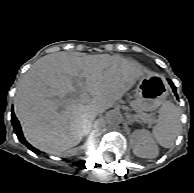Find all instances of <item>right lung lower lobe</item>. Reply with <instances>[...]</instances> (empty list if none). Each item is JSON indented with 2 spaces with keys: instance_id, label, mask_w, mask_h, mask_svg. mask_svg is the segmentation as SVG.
Wrapping results in <instances>:
<instances>
[{
  "instance_id": "right-lung-lower-lobe-1",
  "label": "right lung lower lobe",
  "mask_w": 194,
  "mask_h": 193,
  "mask_svg": "<svg viewBox=\"0 0 194 193\" xmlns=\"http://www.w3.org/2000/svg\"><path fill=\"white\" fill-rule=\"evenodd\" d=\"M12 124H13V127H14V131L16 133V135L18 136V139L20 140V142H22L24 145H26L31 151H33L34 153L36 154H39L40 151L35 149L34 147H32L24 138L23 134H22V130H21V127H20V124H19V121L16 119L15 115H14V112L12 110Z\"/></svg>"
}]
</instances>
